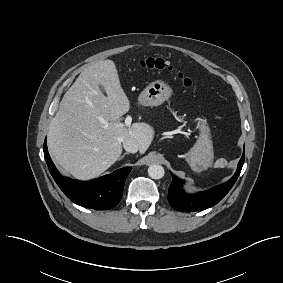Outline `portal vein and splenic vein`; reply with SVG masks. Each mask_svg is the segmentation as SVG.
I'll return each instance as SVG.
<instances>
[{"label": "portal vein and splenic vein", "instance_id": "obj_1", "mask_svg": "<svg viewBox=\"0 0 283 283\" xmlns=\"http://www.w3.org/2000/svg\"><path fill=\"white\" fill-rule=\"evenodd\" d=\"M100 121L105 126H108V123L103 118H100ZM131 122H132V117L131 116H127L125 121H124V123H120V124H118V126H120V127H130L131 126Z\"/></svg>", "mask_w": 283, "mask_h": 283}]
</instances>
